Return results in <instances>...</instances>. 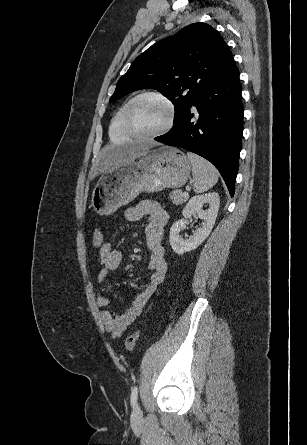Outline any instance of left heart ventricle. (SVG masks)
Listing matches in <instances>:
<instances>
[{
    "mask_svg": "<svg viewBox=\"0 0 307 445\" xmlns=\"http://www.w3.org/2000/svg\"><path fill=\"white\" fill-rule=\"evenodd\" d=\"M132 118L141 132H155L166 123L168 110L161 101L148 98L135 105Z\"/></svg>",
    "mask_w": 307,
    "mask_h": 445,
    "instance_id": "b2bd125f",
    "label": "left heart ventricle"
}]
</instances>
